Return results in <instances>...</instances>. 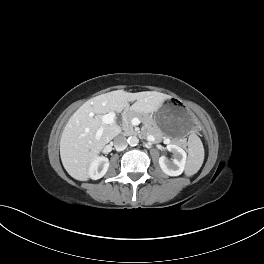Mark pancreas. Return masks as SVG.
Segmentation results:
<instances>
[{"label":"pancreas","mask_w":264,"mask_h":264,"mask_svg":"<svg viewBox=\"0 0 264 264\" xmlns=\"http://www.w3.org/2000/svg\"><path fill=\"white\" fill-rule=\"evenodd\" d=\"M137 117L139 118L146 126L147 134L153 135L157 140H161L163 138L161 130L149 119L143 117L141 114L129 111L126 112L124 115L123 120V130L125 134H132L134 133L133 125L131 124V120Z\"/></svg>","instance_id":"pancreas-1"}]
</instances>
